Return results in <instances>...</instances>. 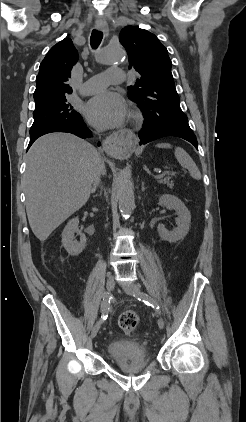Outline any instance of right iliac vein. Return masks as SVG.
I'll return each mask as SVG.
<instances>
[{"label": "right iliac vein", "mask_w": 246, "mask_h": 422, "mask_svg": "<svg viewBox=\"0 0 246 422\" xmlns=\"http://www.w3.org/2000/svg\"><path fill=\"white\" fill-rule=\"evenodd\" d=\"M114 287H115V280H114V278L112 276H110L108 278V280H107V289H108V291H113ZM100 326H101V323L100 322H97L94 325V327L92 329V337L93 338L96 337V335H97V333H98V331L100 329Z\"/></svg>", "instance_id": "obj_1"}]
</instances>
